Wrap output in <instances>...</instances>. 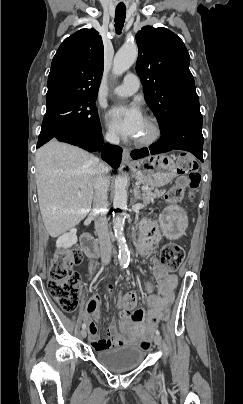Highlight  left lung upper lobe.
I'll list each match as a JSON object with an SVG mask.
<instances>
[{
	"instance_id": "left-lung-upper-lobe-1",
	"label": "left lung upper lobe",
	"mask_w": 243,
	"mask_h": 404,
	"mask_svg": "<svg viewBox=\"0 0 243 404\" xmlns=\"http://www.w3.org/2000/svg\"><path fill=\"white\" fill-rule=\"evenodd\" d=\"M136 71L148 106L160 129L182 114H201L190 56L183 41L170 30L145 26L136 34Z\"/></svg>"
}]
</instances>
